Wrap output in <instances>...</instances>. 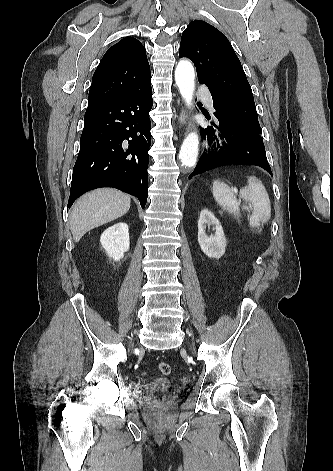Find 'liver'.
Instances as JSON below:
<instances>
[{"instance_id": "obj_1", "label": "liver", "mask_w": 333, "mask_h": 471, "mask_svg": "<svg viewBox=\"0 0 333 471\" xmlns=\"http://www.w3.org/2000/svg\"><path fill=\"white\" fill-rule=\"evenodd\" d=\"M131 204L130 196L116 189L104 188L86 193L73 206L70 230L75 242L103 224L125 215Z\"/></svg>"}]
</instances>
